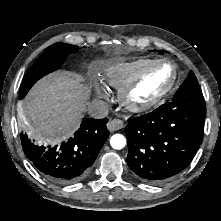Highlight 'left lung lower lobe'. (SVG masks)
<instances>
[{
	"mask_svg": "<svg viewBox=\"0 0 221 221\" xmlns=\"http://www.w3.org/2000/svg\"><path fill=\"white\" fill-rule=\"evenodd\" d=\"M206 111L166 102L151 113L128 119L127 163L141 180L163 183L183 171L203 139Z\"/></svg>",
	"mask_w": 221,
	"mask_h": 221,
	"instance_id": "left-lung-lower-lobe-1",
	"label": "left lung lower lobe"
}]
</instances>
